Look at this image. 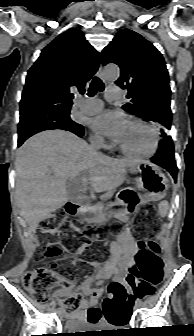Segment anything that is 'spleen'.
<instances>
[{
    "label": "spleen",
    "mask_w": 194,
    "mask_h": 336,
    "mask_svg": "<svg viewBox=\"0 0 194 336\" xmlns=\"http://www.w3.org/2000/svg\"><path fill=\"white\" fill-rule=\"evenodd\" d=\"M169 210V203L167 201H162L159 204V213L162 217H165Z\"/></svg>",
    "instance_id": "spleen-1"
}]
</instances>
